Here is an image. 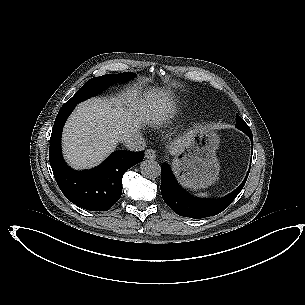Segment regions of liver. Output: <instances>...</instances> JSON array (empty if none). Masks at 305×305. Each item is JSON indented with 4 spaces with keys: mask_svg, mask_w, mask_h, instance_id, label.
I'll return each instance as SVG.
<instances>
[{
    "mask_svg": "<svg viewBox=\"0 0 305 305\" xmlns=\"http://www.w3.org/2000/svg\"><path fill=\"white\" fill-rule=\"evenodd\" d=\"M172 117L168 112L149 110L136 91L111 100L91 98L78 104L64 125V159L76 170L93 168L116 149L119 140L137 135L146 124L167 126ZM193 132L174 139L173 153L187 145Z\"/></svg>",
    "mask_w": 305,
    "mask_h": 305,
    "instance_id": "1",
    "label": "liver"
}]
</instances>
